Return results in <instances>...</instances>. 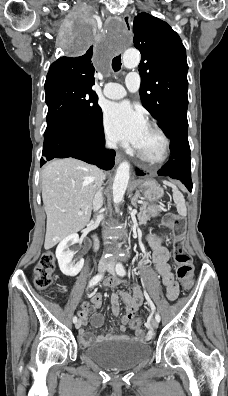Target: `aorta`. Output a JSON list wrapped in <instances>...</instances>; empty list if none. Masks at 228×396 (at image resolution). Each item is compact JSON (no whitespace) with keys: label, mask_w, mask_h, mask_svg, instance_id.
Returning a JSON list of instances; mask_svg holds the SVG:
<instances>
[{"label":"aorta","mask_w":228,"mask_h":396,"mask_svg":"<svg viewBox=\"0 0 228 396\" xmlns=\"http://www.w3.org/2000/svg\"><path fill=\"white\" fill-rule=\"evenodd\" d=\"M140 58V53L137 50L128 49L123 54V65L128 69L135 68L138 66ZM129 178L130 164L123 161L119 164L113 181V201L115 204H119L123 200Z\"/></svg>","instance_id":"obj_1"}]
</instances>
